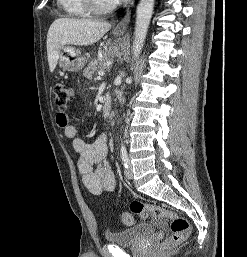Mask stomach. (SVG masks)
I'll return each mask as SVG.
<instances>
[{
	"mask_svg": "<svg viewBox=\"0 0 247 257\" xmlns=\"http://www.w3.org/2000/svg\"><path fill=\"white\" fill-rule=\"evenodd\" d=\"M121 35L114 33L115 37H120ZM86 62V57L81 55L78 49L71 46L64 47L59 56V65L64 71L78 72L85 66Z\"/></svg>",
	"mask_w": 247,
	"mask_h": 257,
	"instance_id": "0dacf381",
	"label": "stomach"
}]
</instances>
